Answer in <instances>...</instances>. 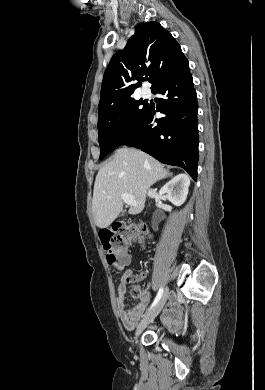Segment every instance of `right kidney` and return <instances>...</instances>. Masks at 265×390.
<instances>
[{"label": "right kidney", "instance_id": "obj_1", "mask_svg": "<svg viewBox=\"0 0 265 390\" xmlns=\"http://www.w3.org/2000/svg\"><path fill=\"white\" fill-rule=\"evenodd\" d=\"M189 186L190 178L185 174H179L161 188L159 195L166 194L171 203L180 206L186 201Z\"/></svg>", "mask_w": 265, "mask_h": 390}]
</instances>
